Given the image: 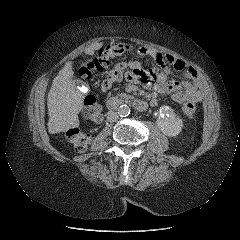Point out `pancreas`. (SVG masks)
I'll return each instance as SVG.
<instances>
[{"label":"pancreas","mask_w":240,"mask_h":240,"mask_svg":"<svg viewBox=\"0 0 240 240\" xmlns=\"http://www.w3.org/2000/svg\"><path fill=\"white\" fill-rule=\"evenodd\" d=\"M130 98H131V96L127 95L125 93H120V94H117V96L111 97V99H121V100H128Z\"/></svg>","instance_id":"obj_1"}]
</instances>
